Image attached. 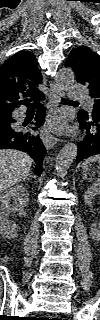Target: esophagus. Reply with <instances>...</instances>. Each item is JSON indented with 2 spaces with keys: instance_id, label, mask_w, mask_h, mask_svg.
<instances>
[{
  "instance_id": "1",
  "label": "esophagus",
  "mask_w": 100,
  "mask_h": 320,
  "mask_svg": "<svg viewBox=\"0 0 100 320\" xmlns=\"http://www.w3.org/2000/svg\"><path fill=\"white\" fill-rule=\"evenodd\" d=\"M50 91H51L50 103L53 107H56L58 106L59 100L63 96V93L54 84H50ZM49 121H50V114H48L46 122L40 131V138L48 150L53 148L58 142V139L49 130Z\"/></svg>"
}]
</instances>
